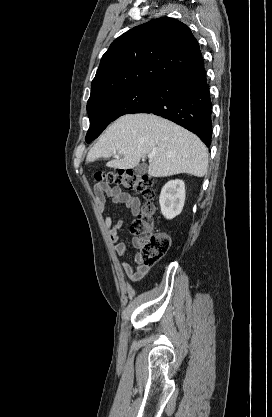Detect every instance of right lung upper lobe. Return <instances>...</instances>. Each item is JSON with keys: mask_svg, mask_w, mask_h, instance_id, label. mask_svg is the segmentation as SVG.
Here are the masks:
<instances>
[{"mask_svg": "<svg viewBox=\"0 0 272 417\" xmlns=\"http://www.w3.org/2000/svg\"><path fill=\"white\" fill-rule=\"evenodd\" d=\"M199 56V44L185 24L169 17L151 20L112 42L102 56L88 102L130 87L160 85Z\"/></svg>", "mask_w": 272, "mask_h": 417, "instance_id": "obj_1", "label": "right lung upper lobe"}]
</instances>
